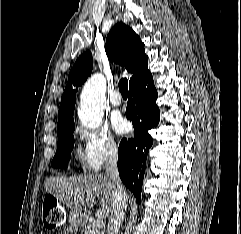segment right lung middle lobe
Returning <instances> with one entry per match:
<instances>
[{
	"label": "right lung middle lobe",
	"instance_id": "obj_1",
	"mask_svg": "<svg viewBox=\"0 0 241 234\" xmlns=\"http://www.w3.org/2000/svg\"><path fill=\"white\" fill-rule=\"evenodd\" d=\"M74 129L75 126H71L60 131H57L58 145L57 152L51 163L53 167L61 168L68 166L71 150L74 146Z\"/></svg>",
	"mask_w": 241,
	"mask_h": 234
}]
</instances>
